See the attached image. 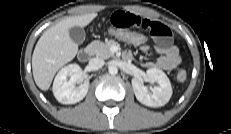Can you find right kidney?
Listing matches in <instances>:
<instances>
[{"mask_svg":"<svg viewBox=\"0 0 231 134\" xmlns=\"http://www.w3.org/2000/svg\"><path fill=\"white\" fill-rule=\"evenodd\" d=\"M85 78L86 80L83 82ZM79 83L80 85L75 87ZM88 89L89 80L82 76V69L77 64L63 67L57 73L53 83V94L62 104H75L81 101L86 96Z\"/></svg>","mask_w":231,"mask_h":134,"instance_id":"obj_1","label":"right kidney"}]
</instances>
